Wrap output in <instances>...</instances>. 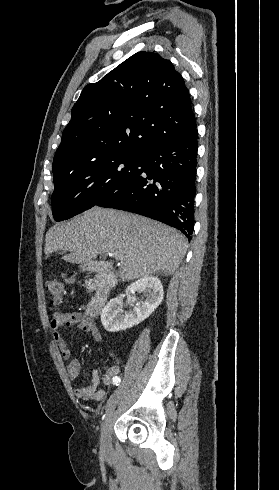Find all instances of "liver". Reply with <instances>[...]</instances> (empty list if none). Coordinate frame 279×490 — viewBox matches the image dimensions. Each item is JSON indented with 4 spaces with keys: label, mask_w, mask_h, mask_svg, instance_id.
I'll use <instances>...</instances> for the list:
<instances>
[{
    "label": "liver",
    "mask_w": 279,
    "mask_h": 490,
    "mask_svg": "<svg viewBox=\"0 0 279 490\" xmlns=\"http://www.w3.org/2000/svg\"><path fill=\"white\" fill-rule=\"evenodd\" d=\"M45 256L58 250L70 252L62 260L91 264L97 256L113 254L120 260L122 282L174 274L187 250V238L161 222L121 210L91 208L64 224H56L45 236Z\"/></svg>",
    "instance_id": "liver-1"
}]
</instances>
